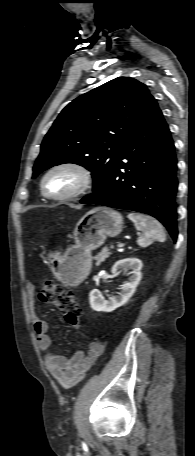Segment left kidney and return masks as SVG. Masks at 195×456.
Listing matches in <instances>:
<instances>
[{
  "label": "left kidney",
  "mask_w": 195,
  "mask_h": 456,
  "mask_svg": "<svg viewBox=\"0 0 195 456\" xmlns=\"http://www.w3.org/2000/svg\"><path fill=\"white\" fill-rule=\"evenodd\" d=\"M120 269H130L131 276L120 288L117 296L109 301L105 300L98 289H93L89 294L90 306L94 311L112 312L118 307L123 306L134 294L141 278L142 261L137 258H127L117 261L112 267L111 272L116 274Z\"/></svg>",
  "instance_id": "left-kidney-1"
}]
</instances>
